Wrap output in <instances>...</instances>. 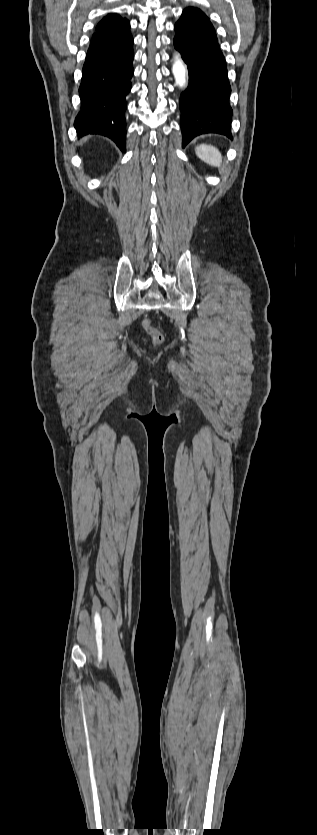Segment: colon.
Listing matches in <instances>:
<instances>
[{
	"label": "colon",
	"mask_w": 317,
	"mask_h": 835,
	"mask_svg": "<svg viewBox=\"0 0 317 835\" xmlns=\"http://www.w3.org/2000/svg\"><path fill=\"white\" fill-rule=\"evenodd\" d=\"M142 326L145 332L150 336L154 344H160L161 342H163V334L161 333V331L154 327L150 319H145L142 322Z\"/></svg>",
	"instance_id": "colon-1"
}]
</instances>
